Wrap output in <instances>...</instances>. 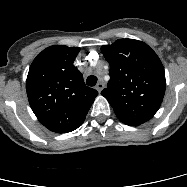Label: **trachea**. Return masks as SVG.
<instances>
[{
    "label": "trachea",
    "mask_w": 187,
    "mask_h": 187,
    "mask_svg": "<svg viewBox=\"0 0 187 187\" xmlns=\"http://www.w3.org/2000/svg\"><path fill=\"white\" fill-rule=\"evenodd\" d=\"M96 83H97V77L94 76V75L89 76V77L87 78V80H86V84H87L88 86H91V87L95 86Z\"/></svg>",
    "instance_id": "1"
}]
</instances>
